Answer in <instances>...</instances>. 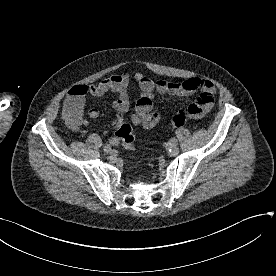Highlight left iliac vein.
<instances>
[{
  "mask_svg": "<svg viewBox=\"0 0 276 276\" xmlns=\"http://www.w3.org/2000/svg\"><path fill=\"white\" fill-rule=\"evenodd\" d=\"M179 153V148L176 145L170 147L169 154L171 156H176Z\"/></svg>",
  "mask_w": 276,
  "mask_h": 276,
  "instance_id": "1",
  "label": "left iliac vein"
}]
</instances>
